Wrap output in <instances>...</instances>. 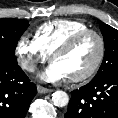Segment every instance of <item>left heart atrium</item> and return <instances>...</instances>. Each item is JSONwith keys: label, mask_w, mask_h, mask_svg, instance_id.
I'll return each instance as SVG.
<instances>
[{"label": "left heart atrium", "mask_w": 118, "mask_h": 118, "mask_svg": "<svg viewBox=\"0 0 118 118\" xmlns=\"http://www.w3.org/2000/svg\"><path fill=\"white\" fill-rule=\"evenodd\" d=\"M40 78L46 82H60L68 78L65 70L56 62L51 63L41 74Z\"/></svg>", "instance_id": "obj_1"}]
</instances>
